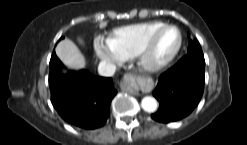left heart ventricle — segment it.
<instances>
[{"mask_svg": "<svg viewBox=\"0 0 247 145\" xmlns=\"http://www.w3.org/2000/svg\"><path fill=\"white\" fill-rule=\"evenodd\" d=\"M178 42V34L176 30L167 28L160 32L157 36L151 53L150 61L158 62L166 59L174 51Z\"/></svg>", "mask_w": 247, "mask_h": 145, "instance_id": "obj_1", "label": "left heart ventricle"}]
</instances>
